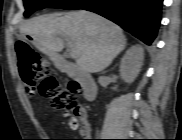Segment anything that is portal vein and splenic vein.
Masks as SVG:
<instances>
[{
    "label": "portal vein and splenic vein",
    "mask_w": 182,
    "mask_h": 140,
    "mask_svg": "<svg viewBox=\"0 0 182 140\" xmlns=\"http://www.w3.org/2000/svg\"><path fill=\"white\" fill-rule=\"evenodd\" d=\"M67 43H68V51H69V55L71 58H77L79 56V51L77 50V48L73 45V43L71 42V40L69 38H66Z\"/></svg>",
    "instance_id": "1"
}]
</instances>
